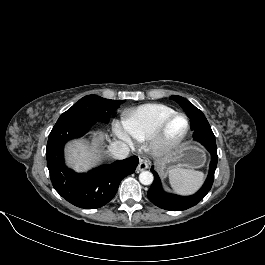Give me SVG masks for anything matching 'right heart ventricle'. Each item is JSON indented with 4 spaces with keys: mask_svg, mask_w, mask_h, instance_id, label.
Masks as SVG:
<instances>
[{
    "mask_svg": "<svg viewBox=\"0 0 265 265\" xmlns=\"http://www.w3.org/2000/svg\"><path fill=\"white\" fill-rule=\"evenodd\" d=\"M174 110L163 104H144L123 113V123L135 140H145Z\"/></svg>",
    "mask_w": 265,
    "mask_h": 265,
    "instance_id": "obj_1",
    "label": "right heart ventricle"
}]
</instances>
